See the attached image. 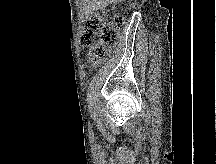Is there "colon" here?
I'll use <instances>...</instances> for the list:
<instances>
[{"mask_svg":"<svg viewBox=\"0 0 216 164\" xmlns=\"http://www.w3.org/2000/svg\"><path fill=\"white\" fill-rule=\"evenodd\" d=\"M123 24L122 14H111L109 11H102L87 20L82 41L90 46L88 62L92 67H97L107 60L118 42Z\"/></svg>","mask_w":216,"mask_h":164,"instance_id":"obj_1","label":"colon"}]
</instances>
